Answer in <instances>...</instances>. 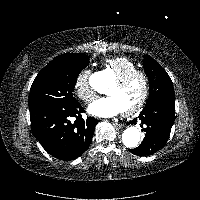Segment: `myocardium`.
Returning a JSON list of instances; mask_svg holds the SVG:
<instances>
[{"label":"myocardium","mask_w":200,"mask_h":200,"mask_svg":"<svg viewBox=\"0 0 200 200\" xmlns=\"http://www.w3.org/2000/svg\"><path fill=\"white\" fill-rule=\"evenodd\" d=\"M136 77H140L143 81V93L139 101L134 106L123 111V113L127 116L138 113L145 106L150 93V81L148 75L144 71L134 70L117 78L114 82L116 86L122 87Z\"/></svg>","instance_id":"myocardium-1"}]
</instances>
